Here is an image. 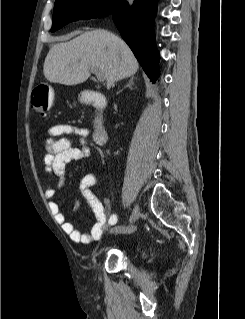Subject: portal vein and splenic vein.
<instances>
[{"mask_svg": "<svg viewBox=\"0 0 245 319\" xmlns=\"http://www.w3.org/2000/svg\"><path fill=\"white\" fill-rule=\"evenodd\" d=\"M91 72L95 74V76L97 77L98 81H104L105 80V75L104 72L99 70V69H91Z\"/></svg>", "mask_w": 245, "mask_h": 319, "instance_id": "portal-vein-and-splenic-vein-1", "label": "portal vein and splenic vein"}]
</instances>
